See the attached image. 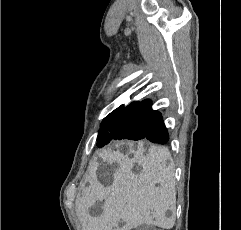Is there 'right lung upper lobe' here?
I'll return each instance as SVG.
<instances>
[{"instance_id": "1", "label": "right lung upper lobe", "mask_w": 241, "mask_h": 230, "mask_svg": "<svg viewBox=\"0 0 241 230\" xmlns=\"http://www.w3.org/2000/svg\"><path fill=\"white\" fill-rule=\"evenodd\" d=\"M150 102V100H144L141 103L139 101L137 102H132L131 104H129L128 106L124 107V105H121L120 107H118L116 110L117 112H120L122 114H129V113H138L140 108L142 106H145L146 104H148ZM113 111V112H114Z\"/></svg>"}]
</instances>
